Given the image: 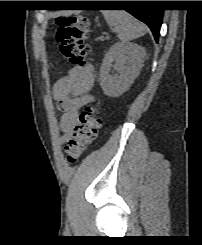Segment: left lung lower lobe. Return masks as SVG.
Returning a JSON list of instances; mask_svg holds the SVG:
<instances>
[{"instance_id":"1","label":"left lung lower lobe","mask_w":202,"mask_h":245,"mask_svg":"<svg viewBox=\"0 0 202 245\" xmlns=\"http://www.w3.org/2000/svg\"><path fill=\"white\" fill-rule=\"evenodd\" d=\"M104 5L112 6V5H135L140 6L141 8H128L127 12L132 14L134 17L144 22L151 29L156 42H158V38L160 35V27L162 25L163 19V10L156 8H143L150 7L154 2L153 1H126V3H119V1H103Z\"/></svg>"}]
</instances>
